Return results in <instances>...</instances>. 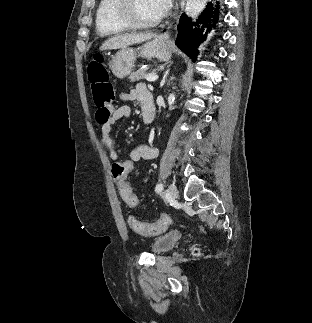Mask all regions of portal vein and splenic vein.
<instances>
[{"mask_svg":"<svg viewBox=\"0 0 312 323\" xmlns=\"http://www.w3.org/2000/svg\"><path fill=\"white\" fill-rule=\"evenodd\" d=\"M159 76H156V74H152V76H147L146 80L147 82H155V80H158Z\"/></svg>","mask_w":312,"mask_h":323,"instance_id":"1","label":"portal vein and splenic vein"}]
</instances>
